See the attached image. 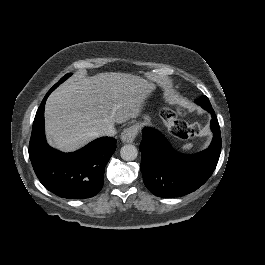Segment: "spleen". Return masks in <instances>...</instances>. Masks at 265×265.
<instances>
[{
    "label": "spleen",
    "mask_w": 265,
    "mask_h": 265,
    "mask_svg": "<svg viewBox=\"0 0 265 265\" xmlns=\"http://www.w3.org/2000/svg\"><path fill=\"white\" fill-rule=\"evenodd\" d=\"M193 147L192 143H187L185 145L182 146L183 150H190Z\"/></svg>",
    "instance_id": "obj_1"
}]
</instances>
